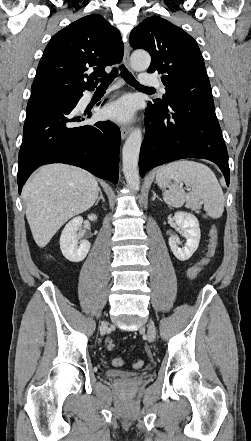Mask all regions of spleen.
<instances>
[{"label": "spleen", "mask_w": 251, "mask_h": 441, "mask_svg": "<svg viewBox=\"0 0 251 441\" xmlns=\"http://www.w3.org/2000/svg\"><path fill=\"white\" fill-rule=\"evenodd\" d=\"M156 181L163 190V200L169 206L204 204V210L211 218L222 216L225 198L215 174L208 166L191 160L174 161L157 171ZM180 183L189 186L191 191L186 193Z\"/></svg>", "instance_id": "1"}]
</instances>
